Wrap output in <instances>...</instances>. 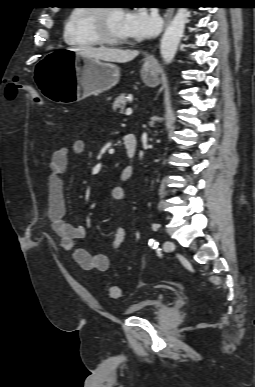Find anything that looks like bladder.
<instances>
[{
    "label": "bladder",
    "instance_id": "31cf9c89",
    "mask_svg": "<svg viewBox=\"0 0 255 387\" xmlns=\"http://www.w3.org/2000/svg\"><path fill=\"white\" fill-rule=\"evenodd\" d=\"M166 307V302L163 298L147 299L130 305L125 314L128 316L145 317L156 314Z\"/></svg>",
    "mask_w": 255,
    "mask_h": 387
}]
</instances>
